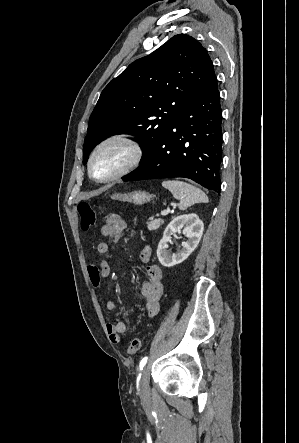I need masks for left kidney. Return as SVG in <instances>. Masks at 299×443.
Segmentation results:
<instances>
[{
	"mask_svg": "<svg viewBox=\"0 0 299 443\" xmlns=\"http://www.w3.org/2000/svg\"><path fill=\"white\" fill-rule=\"evenodd\" d=\"M187 237V241L182 243V249L177 253L169 254L168 244L171 242V235L180 231ZM204 230V224L196 214H185L175 217L166 227L163 238L157 248L159 262L165 267H172L182 263L198 246Z\"/></svg>",
	"mask_w": 299,
	"mask_h": 443,
	"instance_id": "5707ae66",
	"label": "left kidney"
}]
</instances>
